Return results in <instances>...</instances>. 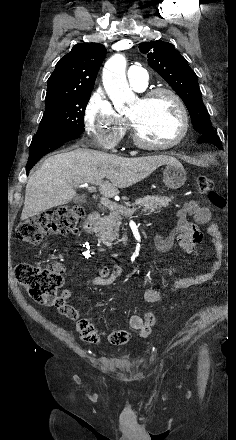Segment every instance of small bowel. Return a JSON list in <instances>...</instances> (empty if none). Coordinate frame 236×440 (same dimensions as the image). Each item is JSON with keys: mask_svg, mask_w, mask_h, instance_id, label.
Listing matches in <instances>:
<instances>
[{"mask_svg": "<svg viewBox=\"0 0 236 440\" xmlns=\"http://www.w3.org/2000/svg\"><path fill=\"white\" fill-rule=\"evenodd\" d=\"M189 216L193 217L195 222L189 221ZM196 223H207L209 225L208 234L212 238L215 259L207 272L174 280L172 286L176 290L195 287L211 280L219 272L222 265V234L217 224L211 220L210 209L195 200H188L183 203L177 212L176 225L167 235L158 234L155 236L154 243L156 249L160 252H167L177 243L186 252L197 254L198 246L203 239V234ZM53 266L60 272L63 271L62 265L55 263ZM122 273V269L118 266L112 270L108 267H101L98 269V275L90 280V284L92 286L110 285L119 278ZM60 295L67 304L72 296V292L65 289ZM144 299L149 303L155 304L161 301L162 295L158 289L150 287L145 290ZM63 315L72 320L70 323L71 330H77L81 338L90 343H97L99 336H103L113 345H124L130 340L131 336L136 335V331L139 333L140 339H147L148 333L151 331L150 324H144L142 318L136 314L129 318L130 327H125L124 330L110 333L99 332L94 327L93 321H83L86 319H81L79 312L69 304H67Z\"/></svg>", "mask_w": 236, "mask_h": 440, "instance_id": "small-bowel-1", "label": "small bowel"}]
</instances>
